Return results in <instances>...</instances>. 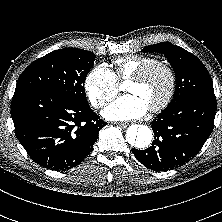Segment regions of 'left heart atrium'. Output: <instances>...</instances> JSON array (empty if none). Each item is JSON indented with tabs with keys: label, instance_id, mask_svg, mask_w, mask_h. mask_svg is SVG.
<instances>
[{
	"label": "left heart atrium",
	"instance_id": "obj_1",
	"mask_svg": "<svg viewBox=\"0 0 222 222\" xmlns=\"http://www.w3.org/2000/svg\"><path fill=\"white\" fill-rule=\"evenodd\" d=\"M147 110L146 103L138 95L129 93L106 107L102 114L109 120L127 121L144 116Z\"/></svg>",
	"mask_w": 222,
	"mask_h": 222
}]
</instances>
